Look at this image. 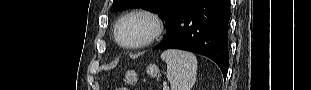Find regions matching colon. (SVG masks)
<instances>
[{
    "label": "colon",
    "mask_w": 311,
    "mask_h": 90,
    "mask_svg": "<svg viewBox=\"0 0 311 90\" xmlns=\"http://www.w3.org/2000/svg\"><path fill=\"white\" fill-rule=\"evenodd\" d=\"M118 90H129V88H127V87H121V88H119Z\"/></svg>",
    "instance_id": "1"
}]
</instances>
